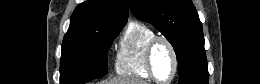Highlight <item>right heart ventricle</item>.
Instances as JSON below:
<instances>
[{"instance_id": "e07e8e85", "label": "right heart ventricle", "mask_w": 260, "mask_h": 84, "mask_svg": "<svg viewBox=\"0 0 260 84\" xmlns=\"http://www.w3.org/2000/svg\"><path fill=\"white\" fill-rule=\"evenodd\" d=\"M155 35L146 24L130 21L119 40L114 62L115 72L136 79H151L146 69V48Z\"/></svg>"}]
</instances>
